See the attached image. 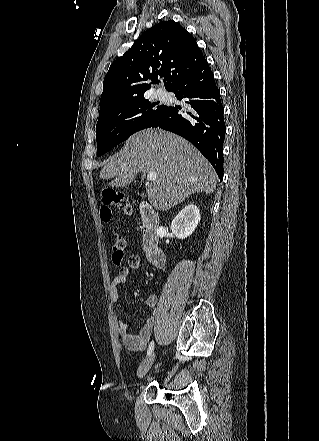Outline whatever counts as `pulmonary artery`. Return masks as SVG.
Here are the masks:
<instances>
[{
    "instance_id": "1",
    "label": "pulmonary artery",
    "mask_w": 319,
    "mask_h": 441,
    "mask_svg": "<svg viewBox=\"0 0 319 441\" xmlns=\"http://www.w3.org/2000/svg\"><path fill=\"white\" fill-rule=\"evenodd\" d=\"M156 96H157V97H159V96H160V94H159V93H156Z\"/></svg>"
}]
</instances>
